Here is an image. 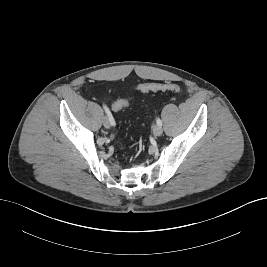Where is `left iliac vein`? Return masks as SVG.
I'll use <instances>...</instances> for the list:
<instances>
[{"instance_id":"4c4485c4","label":"left iliac vein","mask_w":267,"mask_h":267,"mask_svg":"<svg viewBox=\"0 0 267 267\" xmlns=\"http://www.w3.org/2000/svg\"><path fill=\"white\" fill-rule=\"evenodd\" d=\"M163 130H162V127L159 126V125H155L153 127V133L155 136H160L162 134Z\"/></svg>"}]
</instances>
